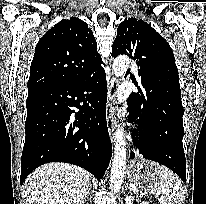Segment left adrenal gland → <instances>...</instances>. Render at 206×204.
Returning a JSON list of instances; mask_svg holds the SVG:
<instances>
[{
    "instance_id": "left-adrenal-gland-1",
    "label": "left adrenal gland",
    "mask_w": 206,
    "mask_h": 204,
    "mask_svg": "<svg viewBox=\"0 0 206 204\" xmlns=\"http://www.w3.org/2000/svg\"><path fill=\"white\" fill-rule=\"evenodd\" d=\"M126 189H130L129 185L127 184Z\"/></svg>"
}]
</instances>
